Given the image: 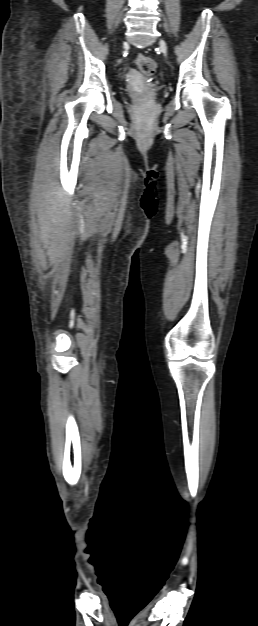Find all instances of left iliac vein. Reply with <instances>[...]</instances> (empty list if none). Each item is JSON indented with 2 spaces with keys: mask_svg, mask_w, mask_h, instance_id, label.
Returning a JSON list of instances; mask_svg holds the SVG:
<instances>
[{
  "mask_svg": "<svg viewBox=\"0 0 258 626\" xmlns=\"http://www.w3.org/2000/svg\"><path fill=\"white\" fill-rule=\"evenodd\" d=\"M160 49L165 56H167V45L163 39L160 40Z\"/></svg>",
  "mask_w": 258,
  "mask_h": 626,
  "instance_id": "left-iliac-vein-1",
  "label": "left iliac vein"
}]
</instances>
